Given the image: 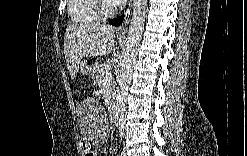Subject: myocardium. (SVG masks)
Masks as SVG:
<instances>
[{
    "mask_svg": "<svg viewBox=\"0 0 247 156\" xmlns=\"http://www.w3.org/2000/svg\"><path fill=\"white\" fill-rule=\"evenodd\" d=\"M95 11L99 19H107L115 16L118 13V8L110 1H96Z\"/></svg>",
    "mask_w": 247,
    "mask_h": 156,
    "instance_id": "1",
    "label": "myocardium"
}]
</instances>
